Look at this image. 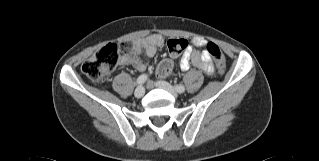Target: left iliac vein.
I'll use <instances>...</instances> for the list:
<instances>
[{
    "mask_svg": "<svg viewBox=\"0 0 319 161\" xmlns=\"http://www.w3.org/2000/svg\"><path fill=\"white\" fill-rule=\"evenodd\" d=\"M155 85L160 88V89H163V90H166L168 91L169 93H171L174 97H177L178 96V93L177 91L174 89L173 86H171L168 82L166 81H157L155 83Z\"/></svg>",
    "mask_w": 319,
    "mask_h": 161,
    "instance_id": "4c4485c4",
    "label": "left iliac vein"
}]
</instances>
